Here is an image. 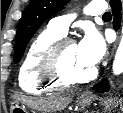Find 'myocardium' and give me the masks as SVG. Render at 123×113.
Returning a JSON list of instances; mask_svg holds the SVG:
<instances>
[{
	"label": "myocardium",
	"instance_id": "1",
	"mask_svg": "<svg viewBox=\"0 0 123 113\" xmlns=\"http://www.w3.org/2000/svg\"><path fill=\"white\" fill-rule=\"evenodd\" d=\"M70 44H75L74 39L70 37L63 36L56 40L47 50L40 64L43 77L62 87L84 84L96 76L94 68L83 77H70L66 73L63 66V56L66 47Z\"/></svg>",
	"mask_w": 123,
	"mask_h": 113
}]
</instances>
